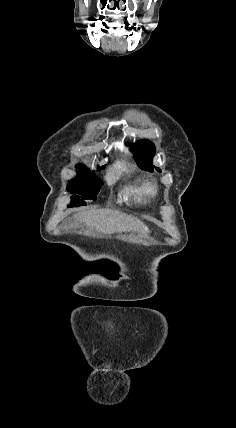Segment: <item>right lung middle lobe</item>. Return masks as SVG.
<instances>
[{
  "label": "right lung middle lobe",
  "instance_id": "obj_1",
  "mask_svg": "<svg viewBox=\"0 0 236 428\" xmlns=\"http://www.w3.org/2000/svg\"><path fill=\"white\" fill-rule=\"evenodd\" d=\"M102 186V181L93 173L79 170L78 177L69 182L67 190L73 192L68 207H79L86 205V200H96L97 194Z\"/></svg>",
  "mask_w": 236,
  "mask_h": 428
}]
</instances>
